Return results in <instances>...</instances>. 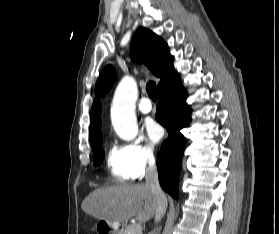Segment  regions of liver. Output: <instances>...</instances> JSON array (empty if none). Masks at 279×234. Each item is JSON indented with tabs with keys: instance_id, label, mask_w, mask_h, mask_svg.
Listing matches in <instances>:
<instances>
[{
	"instance_id": "1",
	"label": "liver",
	"mask_w": 279,
	"mask_h": 234,
	"mask_svg": "<svg viewBox=\"0 0 279 234\" xmlns=\"http://www.w3.org/2000/svg\"><path fill=\"white\" fill-rule=\"evenodd\" d=\"M157 198L146 184L115 185L94 190L82 202V210L95 219L123 223L132 217L150 220L157 208Z\"/></svg>"
}]
</instances>
